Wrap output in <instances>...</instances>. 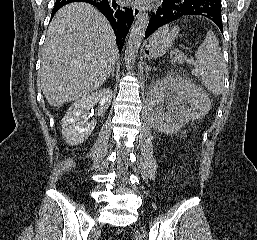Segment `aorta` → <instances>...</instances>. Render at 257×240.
I'll list each match as a JSON object with an SVG mask.
<instances>
[{"instance_id":"762f6f07","label":"aorta","mask_w":257,"mask_h":240,"mask_svg":"<svg viewBox=\"0 0 257 240\" xmlns=\"http://www.w3.org/2000/svg\"><path fill=\"white\" fill-rule=\"evenodd\" d=\"M148 22V13L144 11L138 16L137 20L132 26L124 56L127 69H131L134 65L139 47L148 26Z\"/></svg>"}]
</instances>
